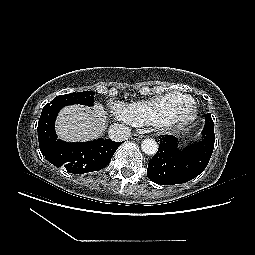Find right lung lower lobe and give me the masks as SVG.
Returning <instances> with one entry per match:
<instances>
[{
  "instance_id": "obj_1",
  "label": "right lung lower lobe",
  "mask_w": 255,
  "mask_h": 255,
  "mask_svg": "<svg viewBox=\"0 0 255 255\" xmlns=\"http://www.w3.org/2000/svg\"><path fill=\"white\" fill-rule=\"evenodd\" d=\"M38 139L41 153L50 163L74 174L105 168L122 144L102 138L84 143L64 142L57 139L54 126L45 131L38 128Z\"/></svg>"
}]
</instances>
